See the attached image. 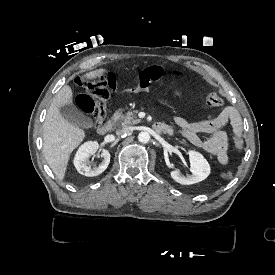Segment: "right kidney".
<instances>
[{
	"instance_id": "ca27d5eb",
	"label": "right kidney",
	"mask_w": 275,
	"mask_h": 275,
	"mask_svg": "<svg viewBox=\"0 0 275 275\" xmlns=\"http://www.w3.org/2000/svg\"><path fill=\"white\" fill-rule=\"evenodd\" d=\"M97 152H100V156L104 161L98 167L92 168L89 165V158ZM110 158L111 153L107 149L100 147L97 142H88L78 150L74 159V165L85 176H97L107 169Z\"/></svg>"
}]
</instances>
